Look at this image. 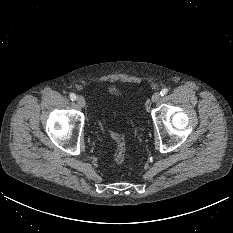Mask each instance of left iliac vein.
<instances>
[{
    "mask_svg": "<svg viewBox=\"0 0 233 233\" xmlns=\"http://www.w3.org/2000/svg\"><path fill=\"white\" fill-rule=\"evenodd\" d=\"M160 99V93L159 92H155L153 95H152V102H157L158 100Z\"/></svg>",
    "mask_w": 233,
    "mask_h": 233,
    "instance_id": "left-iliac-vein-1",
    "label": "left iliac vein"
}]
</instances>
